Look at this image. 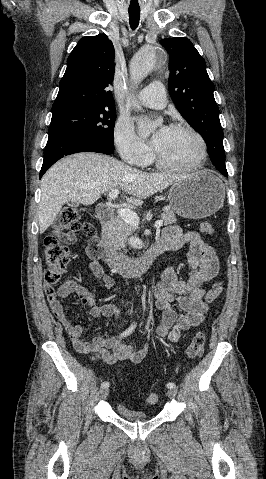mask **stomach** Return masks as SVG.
<instances>
[{"label":"stomach","instance_id":"1","mask_svg":"<svg viewBox=\"0 0 266 479\" xmlns=\"http://www.w3.org/2000/svg\"><path fill=\"white\" fill-rule=\"evenodd\" d=\"M225 198V186L209 170H202L174 183L169 191V205L176 214L201 219L217 212Z\"/></svg>","mask_w":266,"mask_h":479}]
</instances>
